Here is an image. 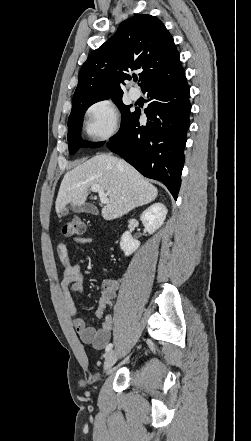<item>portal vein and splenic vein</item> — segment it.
Here are the masks:
<instances>
[{
	"label": "portal vein and splenic vein",
	"mask_w": 251,
	"mask_h": 441,
	"mask_svg": "<svg viewBox=\"0 0 251 441\" xmlns=\"http://www.w3.org/2000/svg\"><path fill=\"white\" fill-rule=\"evenodd\" d=\"M91 190L93 192H97L99 194L100 202L102 204H107L109 202V199L107 198V194L105 193L104 189L100 185H98V184L92 185Z\"/></svg>",
	"instance_id": "18ae733b"
}]
</instances>
